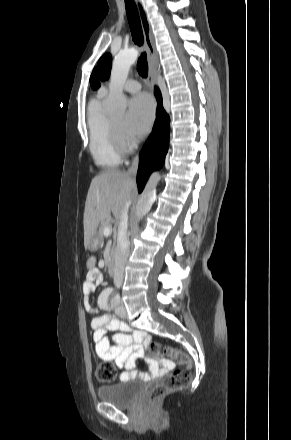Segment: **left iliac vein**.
I'll return each instance as SVG.
<instances>
[{"instance_id": "left-iliac-vein-1", "label": "left iliac vein", "mask_w": 291, "mask_h": 440, "mask_svg": "<svg viewBox=\"0 0 291 440\" xmlns=\"http://www.w3.org/2000/svg\"><path fill=\"white\" fill-rule=\"evenodd\" d=\"M116 315L122 319H125L127 316L126 308L124 305L119 306L116 310Z\"/></svg>"}]
</instances>
